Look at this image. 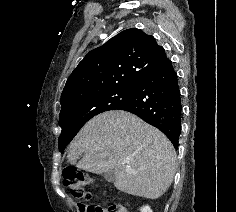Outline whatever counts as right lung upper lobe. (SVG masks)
Instances as JSON below:
<instances>
[{"label":"right lung upper lobe","instance_id":"cb5924a9","mask_svg":"<svg viewBox=\"0 0 236 212\" xmlns=\"http://www.w3.org/2000/svg\"><path fill=\"white\" fill-rule=\"evenodd\" d=\"M165 55L151 35L136 28L124 30L78 64L67 79L61 106L104 91L137 86Z\"/></svg>","mask_w":236,"mask_h":212}]
</instances>
